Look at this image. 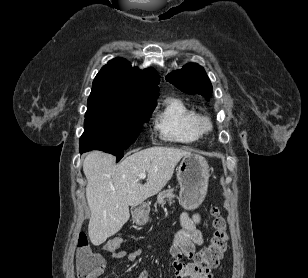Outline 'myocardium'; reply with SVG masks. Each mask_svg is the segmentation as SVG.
<instances>
[{"instance_id": "f54148a6", "label": "myocardium", "mask_w": 308, "mask_h": 278, "mask_svg": "<svg viewBox=\"0 0 308 278\" xmlns=\"http://www.w3.org/2000/svg\"><path fill=\"white\" fill-rule=\"evenodd\" d=\"M194 127L200 135H203L210 132L213 125L209 117L205 115H197L194 120Z\"/></svg>"}]
</instances>
